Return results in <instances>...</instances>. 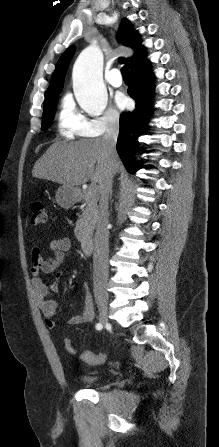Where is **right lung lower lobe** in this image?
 Segmentation results:
<instances>
[{"label": "right lung lower lobe", "instance_id": "right-lung-lower-lobe-1", "mask_svg": "<svg viewBox=\"0 0 219 447\" xmlns=\"http://www.w3.org/2000/svg\"><path fill=\"white\" fill-rule=\"evenodd\" d=\"M154 75L146 60L141 65L130 70L128 94L136 102V109L123 112L120 116V131L117 140V151L123 164L129 172L134 171V151L138 147L137 138L148 128L151 109V89Z\"/></svg>", "mask_w": 219, "mask_h": 447}]
</instances>
